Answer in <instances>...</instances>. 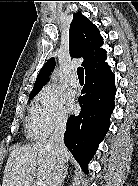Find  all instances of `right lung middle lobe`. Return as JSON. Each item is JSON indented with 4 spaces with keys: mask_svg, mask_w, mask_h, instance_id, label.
<instances>
[{
    "mask_svg": "<svg viewBox=\"0 0 138 186\" xmlns=\"http://www.w3.org/2000/svg\"><path fill=\"white\" fill-rule=\"evenodd\" d=\"M34 96H35V94L34 95H30L29 100L32 99Z\"/></svg>",
    "mask_w": 138,
    "mask_h": 186,
    "instance_id": "obj_1",
    "label": "right lung middle lobe"
}]
</instances>
